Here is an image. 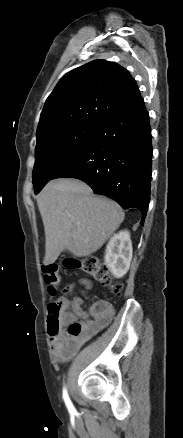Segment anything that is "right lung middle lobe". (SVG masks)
Segmentation results:
<instances>
[{
	"mask_svg": "<svg viewBox=\"0 0 183 438\" xmlns=\"http://www.w3.org/2000/svg\"><path fill=\"white\" fill-rule=\"evenodd\" d=\"M96 126L77 125L52 130L37 138L33 185L38 193L90 141Z\"/></svg>",
	"mask_w": 183,
	"mask_h": 438,
	"instance_id": "dd1d6c3e",
	"label": "right lung middle lobe"
}]
</instances>
